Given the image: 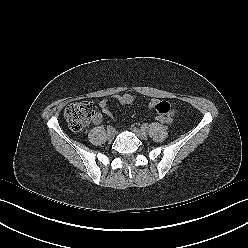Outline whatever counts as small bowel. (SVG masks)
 Masks as SVG:
<instances>
[{"label":"small bowel","mask_w":248,"mask_h":248,"mask_svg":"<svg viewBox=\"0 0 248 248\" xmlns=\"http://www.w3.org/2000/svg\"><path fill=\"white\" fill-rule=\"evenodd\" d=\"M112 98L123 105H131L135 102L136 97L129 93L124 94H116L113 95ZM99 107L101 109V112H97L93 116V123L98 125L103 121V115L111 116V112L108 108V101L107 99H103L99 102ZM148 108L150 110H155L158 114H162L167 117L169 121H171V117L174 113L171 105L166 101H159L156 99H153L149 102Z\"/></svg>","instance_id":"small-bowel-1"}]
</instances>
